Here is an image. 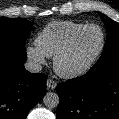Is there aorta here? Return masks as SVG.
Listing matches in <instances>:
<instances>
[{
  "label": "aorta",
  "instance_id": "762f6f07",
  "mask_svg": "<svg viewBox=\"0 0 119 119\" xmlns=\"http://www.w3.org/2000/svg\"><path fill=\"white\" fill-rule=\"evenodd\" d=\"M43 102L47 108L52 109L58 107L60 99L57 93L48 92L43 97Z\"/></svg>",
  "mask_w": 119,
  "mask_h": 119
}]
</instances>
